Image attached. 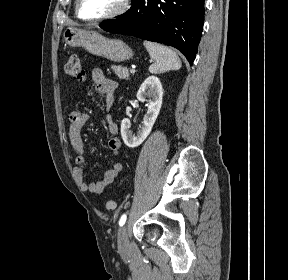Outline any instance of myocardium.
<instances>
[{
  "instance_id": "f54148a6",
  "label": "myocardium",
  "mask_w": 288,
  "mask_h": 280,
  "mask_svg": "<svg viewBox=\"0 0 288 280\" xmlns=\"http://www.w3.org/2000/svg\"><path fill=\"white\" fill-rule=\"evenodd\" d=\"M130 2L131 0H122L121 5L116 10H114L113 12L107 15L97 17V18H85L80 13L81 0H76L75 12H76L77 17L82 21L89 22V23L103 22V21H108V20L118 18L122 16L123 14H125L130 7Z\"/></svg>"
}]
</instances>
